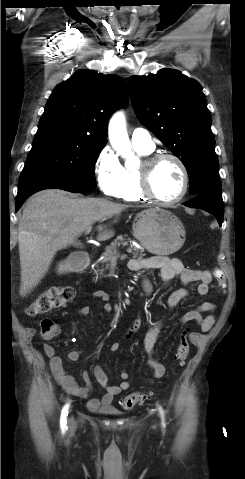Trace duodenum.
Instances as JSON below:
<instances>
[{
  "instance_id": "obj_1",
  "label": "duodenum",
  "mask_w": 245,
  "mask_h": 479,
  "mask_svg": "<svg viewBox=\"0 0 245 479\" xmlns=\"http://www.w3.org/2000/svg\"><path fill=\"white\" fill-rule=\"evenodd\" d=\"M90 264V259L88 256L83 255L72 259V266L75 270H82L88 267Z\"/></svg>"
}]
</instances>
